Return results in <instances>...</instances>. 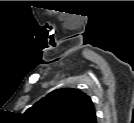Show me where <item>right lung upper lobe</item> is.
Returning <instances> with one entry per match:
<instances>
[{
	"mask_svg": "<svg viewBox=\"0 0 134 123\" xmlns=\"http://www.w3.org/2000/svg\"><path fill=\"white\" fill-rule=\"evenodd\" d=\"M24 115L33 123H96L90 97L74 88L52 91Z\"/></svg>",
	"mask_w": 134,
	"mask_h": 123,
	"instance_id": "obj_1",
	"label": "right lung upper lobe"
}]
</instances>
